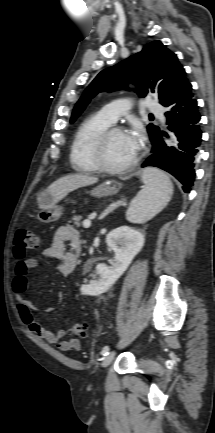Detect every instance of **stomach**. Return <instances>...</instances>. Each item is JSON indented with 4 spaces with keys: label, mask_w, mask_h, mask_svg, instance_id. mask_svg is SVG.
<instances>
[{
    "label": "stomach",
    "mask_w": 215,
    "mask_h": 433,
    "mask_svg": "<svg viewBox=\"0 0 215 433\" xmlns=\"http://www.w3.org/2000/svg\"><path fill=\"white\" fill-rule=\"evenodd\" d=\"M121 187L122 185L116 181H107L96 186L89 193L93 197L103 198L117 194ZM38 204L41 208L38 219L43 223L57 221L63 214V208L57 205L56 199L48 189L38 195Z\"/></svg>",
    "instance_id": "0dacf381"
}]
</instances>
